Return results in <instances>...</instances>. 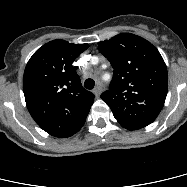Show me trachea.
Wrapping results in <instances>:
<instances>
[{"mask_svg": "<svg viewBox=\"0 0 187 187\" xmlns=\"http://www.w3.org/2000/svg\"><path fill=\"white\" fill-rule=\"evenodd\" d=\"M94 85H95V81L93 79H87L85 82H84V87L86 89H93L94 88Z\"/></svg>", "mask_w": 187, "mask_h": 187, "instance_id": "trachea-1", "label": "trachea"}]
</instances>
